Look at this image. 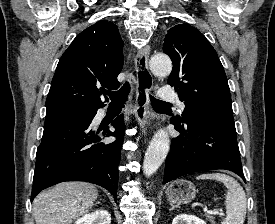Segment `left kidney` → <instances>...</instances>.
Listing matches in <instances>:
<instances>
[{
	"label": "left kidney",
	"mask_w": 275,
	"mask_h": 224,
	"mask_svg": "<svg viewBox=\"0 0 275 224\" xmlns=\"http://www.w3.org/2000/svg\"><path fill=\"white\" fill-rule=\"evenodd\" d=\"M172 224H206V222L194 215L180 214L173 219Z\"/></svg>",
	"instance_id": "left-kidney-1"
}]
</instances>
